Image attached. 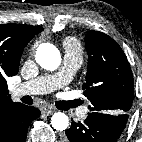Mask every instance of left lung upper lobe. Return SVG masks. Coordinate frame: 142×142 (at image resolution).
Listing matches in <instances>:
<instances>
[{
  "mask_svg": "<svg viewBox=\"0 0 142 142\" xmlns=\"http://www.w3.org/2000/svg\"><path fill=\"white\" fill-rule=\"evenodd\" d=\"M85 45L89 57L83 94L92 103L90 113H128L134 82L123 50L111 37L94 30L86 34Z\"/></svg>",
  "mask_w": 142,
  "mask_h": 142,
  "instance_id": "obj_1",
  "label": "left lung upper lobe"
}]
</instances>
